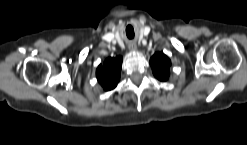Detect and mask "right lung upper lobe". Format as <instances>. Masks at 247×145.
<instances>
[{"label":"right lung upper lobe","instance_id":"1","mask_svg":"<svg viewBox=\"0 0 247 145\" xmlns=\"http://www.w3.org/2000/svg\"><path fill=\"white\" fill-rule=\"evenodd\" d=\"M122 57L108 58L96 71L98 82L105 90H112L117 86L120 78Z\"/></svg>","mask_w":247,"mask_h":145}]
</instances>
